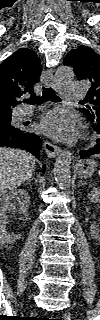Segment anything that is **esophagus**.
Masks as SVG:
<instances>
[{"mask_svg": "<svg viewBox=\"0 0 100 320\" xmlns=\"http://www.w3.org/2000/svg\"><path fill=\"white\" fill-rule=\"evenodd\" d=\"M42 80L46 85L51 86L56 91L60 89V84L55 80L52 69H48L43 72ZM43 146L50 159L56 158V156L61 152V148L59 146H56L47 140H44Z\"/></svg>", "mask_w": 100, "mask_h": 320, "instance_id": "34e87169", "label": "esophagus"}]
</instances>
